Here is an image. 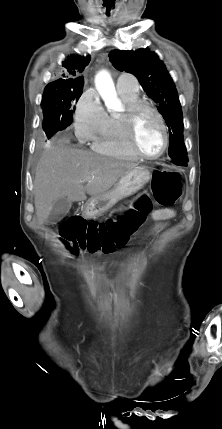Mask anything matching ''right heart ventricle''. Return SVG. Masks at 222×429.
Masks as SVG:
<instances>
[{
  "label": "right heart ventricle",
  "mask_w": 222,
  "mask_h": 429,
  "mask_svg": "<svg viewBox=\"0 0 222 429\" xmlns=\"http://www.w3.org/2000/svg\"><path fill=\"white\" fill-rule=\"evenodd\" d=\"M124 104L140 100L138 92L119 91ZM92 148L101 154L126 159L137 160V156L128 147L121 114H107L105 125L99 135L93 140Z\"/></svg>",
  "instance_id": "right-heart-ventricle-1"
}]
</instances>
